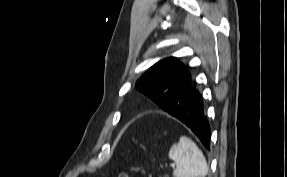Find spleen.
Here are the masks:
<instances>
[{"instance_id": "3e777b00", "label": "spleen", "mask_w": 287, "mask_h": 177, "mask_svg": "<svg viewBox=\"0 0 287 177\" xmlns=\"http://www.w3.org/2000/svg\"><path fill=\"white\" fill-rule=\"evenodd\" d=\"M169 158L176 163L175 177H205L208 166L202 151L188 137L182 136L169 150Z\"/></svg>"}]
</instances>
